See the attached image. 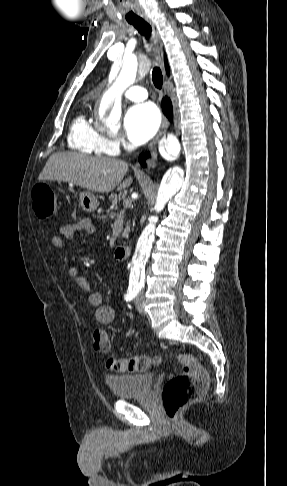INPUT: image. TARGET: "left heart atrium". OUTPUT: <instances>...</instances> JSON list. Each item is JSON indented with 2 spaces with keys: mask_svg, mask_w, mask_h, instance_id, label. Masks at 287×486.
<instances>
[{
  "mask_svg": "<svg viewBox=\"0 0 287 486\" xmlns=\"http://www.w3.org/2000/svg\"><path fill=\"white\" fill-rule=\"evenodd\" d=\"M160 113L151 103L131 107L124 117V128L129 141L134 145L147 142L158 130Z\"/></svg>",
  "mask_w": 287,
  "mask_h": 486,
  "instance_id": "left-heart-atrium-1",
  "label": "left heart atrium"
}]
</instances>
